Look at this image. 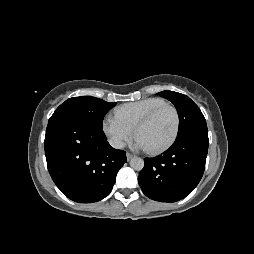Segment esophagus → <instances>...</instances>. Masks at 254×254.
Wrapping results in <instances>:
<instances>
[{
    "label": "esophagus",
    "instance_id": "obj_1",
    "mask_svg": "<svg viewBox=\"0 0 254 254\" xmlns=\"http://www.w3.org/2000/svg\"><path fill=\"white\" fill-rule=\"evenodd\" d=\"M126 157H127V160L130 161L134 157V155H132L131 153H127Z\"/></svg>",
    "mask_w": 254,
    "mask_h": 254
}]
</instances>
